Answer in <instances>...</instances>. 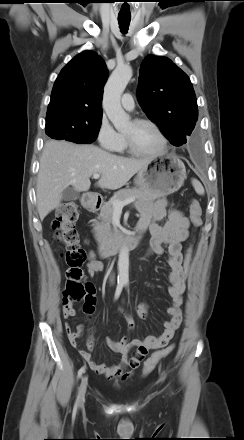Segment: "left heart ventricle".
<instances>
[{
    "instance_id": "left-heart-ventricle-1",
    "label": "left heart ventricle",
    "mask_w": 244,
    "mask_h": 440,
    "mask_svg": "<svg viewBox=\"0 0 244 440\" xmlns=\"http://www.w3.org/2000/svg\"><path fill=\"white\" fill-rule=\"evenodd\" d=\"M123 133L132 138L136 146L144 152H157L162 146L158 132L149 125H136L131 122Z\"/></svg>"
}]
</instances>
